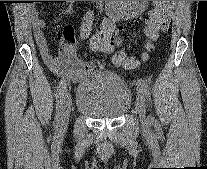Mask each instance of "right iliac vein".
I'll use <instances>...</instances> for the list:
<instances>
[{
	"instance_id": "63e3f726",
	"label": "right iliac vein",
	"mask_w": 207,
	"mask_h": 169,
	"mask_svg": "<svg viewBox=\"0 0 207 169\" xmlns=\"http://www.w3.org/2000/svg\"><path fill=\"white\" fill-rule=\"evenodd\" d=\"M72 108V98L69 92H66L63 98L62 114L59 122V126L62 130L66 129L69 122V117Z\"/></svg>"
}]
</instances>
